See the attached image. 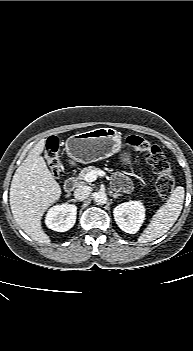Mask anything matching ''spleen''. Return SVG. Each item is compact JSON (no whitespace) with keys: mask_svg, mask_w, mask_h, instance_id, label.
<instances>
[{"mask_svg":"<svg viewBox=\"0 0 193 351\" xmlns=\"http://www.w3.org/2000/svg\"><path fill=\"white\" fill-rule=\"evenodd\" d=\"M185 190L182 186L176 187L170 198L162 205L143 233L139 236V243H147L163 236L178 219L184 202Z\"/></svg>","mask_w":193,"mask_h":351,"instance_id":"3e777b00","label":"spleen"}]
</instances>
